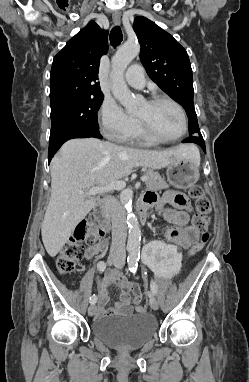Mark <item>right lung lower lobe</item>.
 Instances as JSON below:
<instances>
[{
	"instance_id": "right-lung-lower-lobe-1",
	"label": "right lung lower lobe",
	"mask_w": 249,
	"mask_h": 382,
	"mask_svg": "<svg viewBox=\"0 0 249 382\" xmlns=\"http://www.w3.org/2000/svg\"><path fill=\"white\" fill-rule=\"evenodd\" d=\"M86 137H95L102 138L98 129H75L68 132H65L49 140V149H48V162L50 163L53 155L57 150L65 143L67 140L73 138H86Z\"/></svg>"
}]
</instances>
